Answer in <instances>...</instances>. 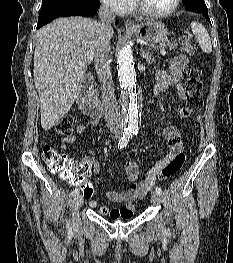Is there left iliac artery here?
<instances>
[{"instance_id":"44dca946","label":"left iliac artery","mask_w":233,"mask_h":263,"mask_svg":"<svg viewBox=\"0 0 233 263\" xmlns=\"http://www.w3.org/2000/svg\"><path fill=\"white\" fill-rule=\"evenodd\" d=\"M132 134H137V133H135V132H131V135H132ZM155 191H156L159 195L162 194V190H161V188L158 187V186L155 188Z\"/></svg>"}]
</instances>
